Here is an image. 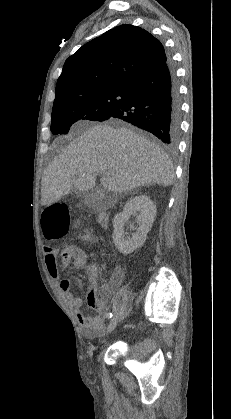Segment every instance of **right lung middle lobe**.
Segmentation results:
<instances>
[{"instance_id":"obj_1","label":"right lung middle lobe","mask_w":231,"mask_h":419,"mask_svg":"<svg viewBox=\"0 0 231 419\" xmlns=\"http://www.w3.org/2000/svg\"><path fill=\"white\" fill-rule=\"evenodd\" d=\"M127 90L103 88L55 102L51 116L52 133L66 134L78 120H106L125 100Z\"/></svg>"}]
</instances>
